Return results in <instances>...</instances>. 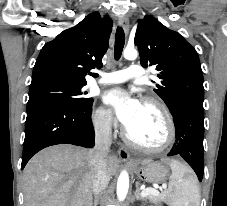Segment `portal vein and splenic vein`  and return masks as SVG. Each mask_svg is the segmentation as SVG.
<instances>
[{
    "label": "portal vein and splenic vein",
    "instance_id": "1",
    "mask_svg": "<svg viewBox=\"0 0 227 206\" xmlns=\"http://www.w3.org/2000/svg\"><path fill=\"white\" fill-rule=\"evenodd\" d=\"M162 188H163V189H166V188H167V185H166V184H163V185H162ZM149 194L159 195V191H158L157 189H154V188H146V189H143V190H142L141 195H142L143 197H146V196L149 195Z\"/></svg>",
    "mask_w": 227,
    "mask_h": 206
}]
</instances>
